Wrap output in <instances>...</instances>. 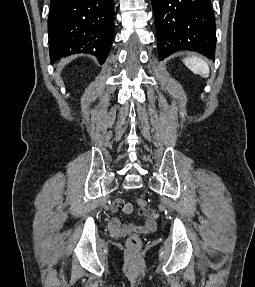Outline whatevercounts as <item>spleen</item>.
<instances>
[{"instance_id":"obj_1","label":"spleen","mask_w":255,"mask_h":287,"mask_svg":"<svg viewBox=\"0 0 255 287\" xmlns=\"http://www.w3.org/2000/svg\"><path fill=\"white\" fill-rule=\"evenodd\" d=\"M183 62L194 74H199L202 78H208L210 74L209 66L201 58H195V56L194 58H184Z\"/></svg>"}]
</instances>
